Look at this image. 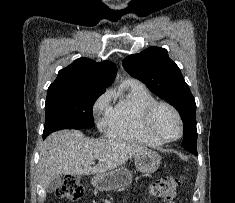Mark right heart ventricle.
Returning <instances> with one entry per match:
<instances>
[{
    "label": "right heart ventricle",
    "instance_id": "right-heart-ventricle-1",
    "mask_svg": "<svg viewBox=\"0 0 235 203\" xmlns=\"http://www.w3.org/2000/svg\"><path fill=\"white\" fill-rule=\"evenodd\" d=\"M110 98H114L115 102L105 120L109 136L148 146L160 145L143 129V112L156 101L145 86L136 81H127L118 90L112 91Z\"/></svg>",
    "mask_w": 235,
    "mask_h": 203
}]
</instances>
